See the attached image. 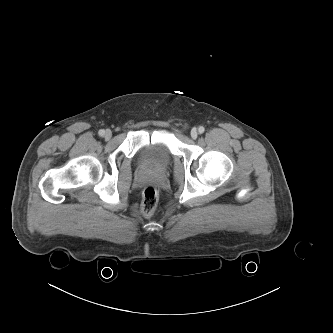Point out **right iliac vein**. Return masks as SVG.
I'll list each match as a JSON object with an SVG mask.
<instances>
[{"instance_id": "right-iliac-vein-1", "label": "right iliac vein", "mask_w": 333, "mask_h": 333, "mask_svg": "<svg viewBox=\"0 0 333 333\" xmlns=\"http://www.w3.org/2000/svg\"><path fill=\"white\" fill-rule=\"evenodd\" d=\"M112 137V132L110 130H107L104 134V138L106 140H109Z\"/></svg>"}]
</instances>
